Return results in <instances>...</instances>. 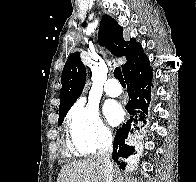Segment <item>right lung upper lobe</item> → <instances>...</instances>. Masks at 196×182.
Instances as JSON below:
<instances>
[{
	"label": "right lung upper lobe",
	"instance_id": "right-lung-upper-lobe-1",
	"mask_svg": "<svg viewBox=\"0 0 196 182\" xmlns=\"http://www.w3.org/2000/svg\"><path fill=\"white\" fill-rule=\"evenodd\" d=\"M99 41L115 56H125L122 65L123 74L146 56L136 39L125 41L123 28L109 15L102 17L99 29ZM62 88L60 91L59 117L66 115L71 106L81 95L86 81V69L80 59V53H72L63 68Z\"/></svg>",
	"mask_w": 196,
	"mask_h": 182
}]
</instances>
